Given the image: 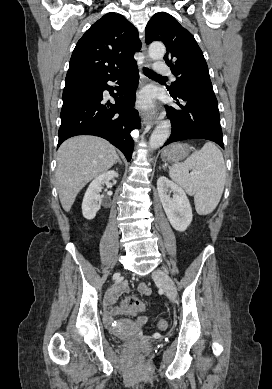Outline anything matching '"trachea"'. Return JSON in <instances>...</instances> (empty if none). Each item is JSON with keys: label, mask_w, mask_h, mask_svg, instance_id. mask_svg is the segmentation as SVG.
Listing matches in <instances>:
<instances>
[{"label": "trachea", "mask_w": 272, "mask_h": 389, "mask_svg": "<svg viewBox=\"0 0 272 389\" xmlns=\"http://www.w3.org/2000/svg\"><path fill=\"white\" fill-rule=\"evenodd\" d=\"M143 72L146 76L150 77V78H153V77H159V78H164L163 76L161 75H158L156 73H154L153 71H151L150 69L144 67L143 68Z\"/></svg>", "instance_id": "trachea-1"}]
</instances>
